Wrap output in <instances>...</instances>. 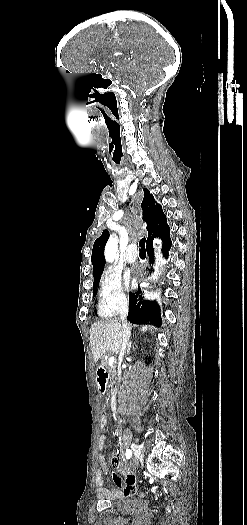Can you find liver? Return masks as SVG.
I'll list each match as a JSON object with an SVG mask.
<instances>
[{"mask_svg": "<svg viewBox=\"0 0 247 525\" xmlns=\"http://www.w3.org/2000/svg\"><path fill=\"white\" fill-rule=\"evenodd\" d=\"M134 327H139V325H134ZM147 329L151 327H142L140 331H147ZM121 337L120 319H103V321L93 323L90 329V345L94 363H97L108 351H113L115 355H118Z\"/></svg>", "mask_w": 247, "mask_h": 525, "instance_id": "liver-1", "label": "liver"}]
</instances>
